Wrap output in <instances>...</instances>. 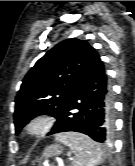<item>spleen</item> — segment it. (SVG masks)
<instances>
[{"label": "spleen", "instance_id": "3e777b00", "mask_svg": "<svg viewBox=\"0 0 135 166\" xmlns=\"http://www.w3.org/2000/svg\"><path fill=\"white\" fill-rule=\"evenodd\" d=\"M56 140L69 147L74 154L72 166H96L102 161L100 145L84 134L61 133L56 135Z\"/></svg>", "mask_w": 135, "mask_h": 166}]
</instances>
